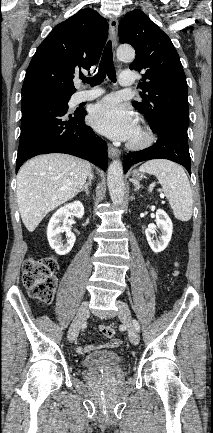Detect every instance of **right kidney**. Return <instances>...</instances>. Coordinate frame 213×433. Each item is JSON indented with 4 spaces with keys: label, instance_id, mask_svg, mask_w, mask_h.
<instances>
[{
    "label": "right kidney",
    "instance_id": "ca27d5eb",
    "mask_svg": "<svg viewBox=\"0 0 213 433\" xmlns=\"http://www.w3.org/2000/svg\"><path fill=\"white\" fill-rule=\"evenodd\" d=\"M84 215V206L80 201L66 204L59 208L51 217L47 227V238L49 245L58 255L68 254L76 241L75 235L67 225L68 218L76 216L82 218ZM66 233V243L63 244L60 238L61 233Z\"/></svg>",
    "mask_w": 213,
    "mask_h": 433
}]
</instances>
